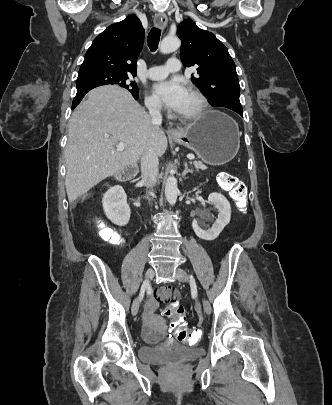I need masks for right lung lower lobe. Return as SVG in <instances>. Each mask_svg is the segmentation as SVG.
I'll use <instances>...</instances> for the list:
<instances>
[{
  "label": "right lung lower lobe",
  "instance_id": "1",
  "mask_svg": "<svg viewBox=\"0 0 332 405\" xmlns=\"http://www.w3.org/2000/svg\"><path fill=\"white\" fill-rule=\"evenodd\" d=\"M92 88H90V89H88V90H85V91H82V92H77V94H76V96H75V98H74V100H73V103H72V109H74L79 103H80V101L82 100V98L85 96V94L88 92V91H90ZM133 97L135 98V99H138V96H135V95H133Z\"/></svg>",
  "mask_w": 332,
  "mask_h": 405
}]
</instances>
